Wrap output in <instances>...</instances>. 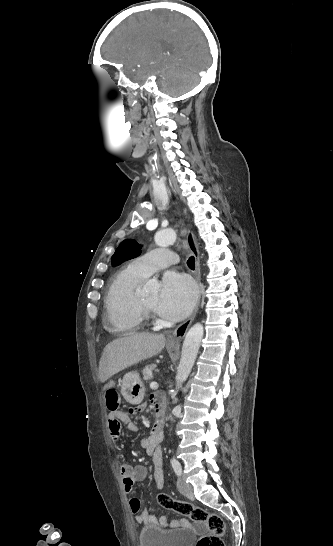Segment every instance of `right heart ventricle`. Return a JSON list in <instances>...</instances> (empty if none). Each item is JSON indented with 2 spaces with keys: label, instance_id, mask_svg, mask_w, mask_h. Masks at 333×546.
Returning a JSON list of instances; mask_svg holds the SVG:
<instances>
[{
  "label": "right heart ventricle",
  "instance_id": "obj_1",
  "mask_svg": "<svg viewBox=\"0 0 333 546\" xmlns=\"http://www.w3.org/2000/svg\"><path fill=\"white\" fill-rule=\"evenodd\" d=\"M145 278L129 265L111 279L105 297V320L111 331L133 333L143 329L144 316L137 305V288Z\"/></svg>",
  "mask_w": 333,
  "mask_h": 546
}]
</instances>
